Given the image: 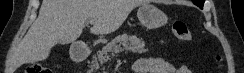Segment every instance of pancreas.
Segmentation results:
<instances>
[{
	"label": "pancreas",
	"mask_w": 244,
	"mask_h": 73,
	"mask_svg": "<svg viewBox=\"0 0 244 73\" xmlns=\"http://www.w3.org/2000/svg\"><path fill=\"white\" fill-rule=\"evenodd\" d=\"M131 51L132 53L143 54L147 52L145 43L136 36L127 34L115 37L110 43L97 52L93 57L95 65H103L108 62L114 54L122 51Z\"/></svg>",
	"instance_id": "pancreas-1"
}]
</instances>
